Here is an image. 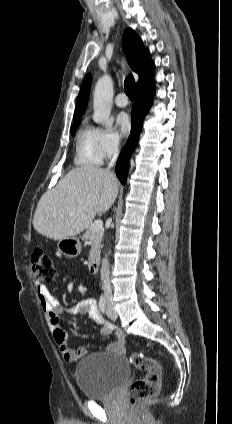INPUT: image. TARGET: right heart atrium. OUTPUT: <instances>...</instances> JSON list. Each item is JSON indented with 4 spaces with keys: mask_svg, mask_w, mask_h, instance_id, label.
Segmentation results:
<instances>
[{
    "mask_svg": "<svg viewBox=\"0 0 232 424\" xmlns=\"http://www.w3.org/2000/svg\"><path fill=\"white\" fill-rule=\"evenodd\" d=\"M99 150L103 157H110L115 154L120 146V137L112 129H101L98 133Z\"/></svg>",
    "mask_w": 232,
    "mask_h": 424,
    "instance_id": "d8ad5b80",
    "label": "right heart atrium"
}]
</instances>
